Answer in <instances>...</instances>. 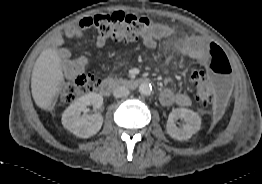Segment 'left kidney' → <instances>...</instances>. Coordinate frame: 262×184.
Returning <instances> with one entry per match:
<instances>
[{
	"mask_svg": "<svg viewBox=\"0 0 262 184\" xmlns=\"http://www.w3.org/2000/svg\"><path fill=\"white\" fill-rule=\"evenodd\" d=\"M182 118L186 124L182 128H178L175 124V120ZM201 128L200 116L186 108L174 109L168 117L166 131L170 137L175 140L184 141L192 137L193 134L197 133Z\"/></svg>",
	"mask_w": 262,
	"mask_h": 184,
	"instance_id": "1",
	"label": "left kidney"
}]
</instances>
